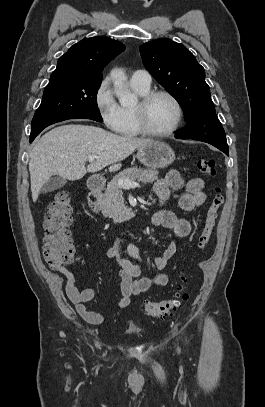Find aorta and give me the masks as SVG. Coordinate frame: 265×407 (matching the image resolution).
I'll list each match as a JSON object with an SVG mask.
<instances>
[{
  "label": "aorta",
  "instance_id": "obj_1",
  "mask_svg": "<svg viewBox=\"0 0 265 407\" xmlns=\"http://www.w3.org/2000/svg\"><path fill=\"white\" fill-rule=\"evenodd\" d=\"M113 79L114 91L122 106L133 105L136 102V97L126 90L125 82L127 80L125 73L121 69L111 71Z\"/></svg>",
  "mask_w": 265,
  "mask_h": 407
}]
</instances>
